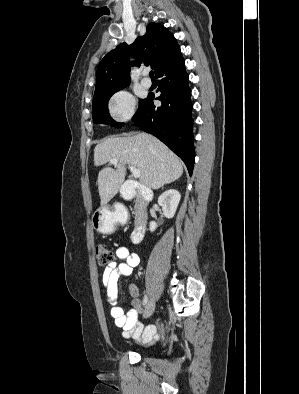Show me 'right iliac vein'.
Instances as JSON below:
<instances>
[{"mask_svg":"<svg viewBox=\"0 0 299 394\" xmlns=\"http://www.w3.org/2000/svg\"><path fill=\"white\" fill-rule=\"evenodd\" d=\"M154 309H155V303H154L153 300H150V301L147 303V305H146V308H145L143 317H144V318L150 317V316L153 314Z\"/></svg>","mask_w":299,"mask_h":394,"instance_id":"right-iliac-vein-1","label":"right iliac vein"}]
</instances>
